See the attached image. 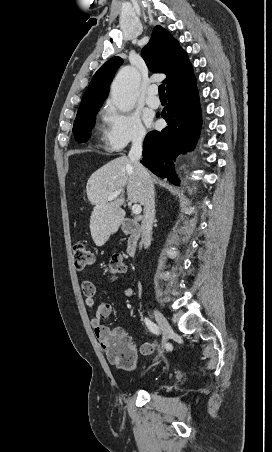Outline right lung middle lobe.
<instances>
[{"label": "right lung middle lobe", "mask_w": 272, "mask_h": 452, "mask_svg": "<svg viewBox=\"0 0 272 452\" xmlns=\"http://www.w3.org/2000/svg\"><path fill=\"white\" fill-rule=\"evenodd\" d=\"M100 107L98 105L78 110L73 126V133L78 142H86L89 139V132L94 126L95 115Z\"/></svg>", "instance_id": "1"}]
</instances>
